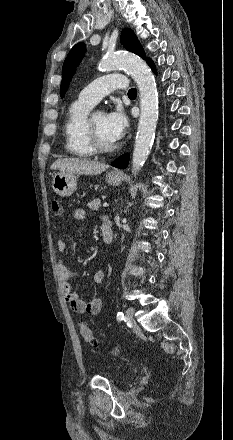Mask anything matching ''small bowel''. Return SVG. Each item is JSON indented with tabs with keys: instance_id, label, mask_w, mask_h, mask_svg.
Here are the masks:
<instances>
[{
	"instance_id": "1",
	"label": "small bowel",
	"mask_w": 233,
	"mask_h": 440,
	"mask_svg": "<svg viewBox=\"0 0 233 440\" xmlns=\"http://www.w3.org/2000/svg\"><path fill=\"white\" fill-rule=\"evenodd\" d=\"M86 216V212L82 208H78L72 211L70 218L72 220H83ZM57 250L60 253L65 252L66 242L64 240L57 241ZM57 271L61 280L62 291L65 296L70 309L76 314H89L97 315L102 309L103 302L100 298H95L90 301H85L79 297L76 291H74L70 280L73 277V273L65 266L62 259L57 262ZM104 278V272L97 270L94 274V280L101 282Z\"/></svg>"
}]
</instances>
